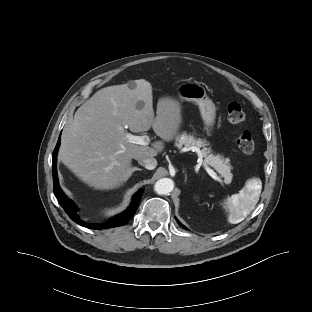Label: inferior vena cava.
Returning <instances> with one entry per match:
<instances>
[{
  "label": "inferior vena cava",
  "mask_w": 312,
  "mask_h": 312,
  "mask_svg": "<svg viewBox=\"0 0 312 312\" xmlns=\"http://www.w3.org/2000/svg\"><path fill=\"white\" fill-rule=\"evenodd\" d=\"M136 160L140 165L148 170H153L157 166V160L155 158L137 157Z\"/></svg>",
  "instance_id": "602c4592"
}]
</instances>
